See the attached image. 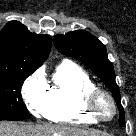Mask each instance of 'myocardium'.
<instances>
[{
  "mask_svg": "<svg viewBox=\"0 0 136 136\" xmlns=\"http://www.w3.org/2000/svg\"><path fill=\"white\" fill-rule=\"evenodd\" d=\"M101 97H105L109 100L112 106V113L110 116L105 117L98 111V102ZM84 108L87 113L92 116L97 121H110L114 118L117 113V105L114 97L110 92L102 88H94L93 90L89 91L84 97Z\"/></svg>",
  "mask_w": 136,
  "mask_h": 136,
  "instance_id": "obj_1",
  "label": "myocardium"
}]
</instances>
